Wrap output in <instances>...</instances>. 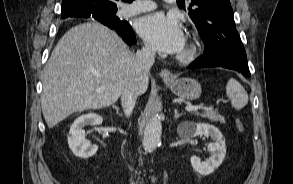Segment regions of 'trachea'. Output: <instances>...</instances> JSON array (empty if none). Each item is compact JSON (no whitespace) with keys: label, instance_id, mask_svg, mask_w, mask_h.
Wrapping results in <instances>:
<instances>
[{"label":"trachea","instance_id":"obj_1","mask_svg":"<svg viewBox=\"0 0 293 184\" xmlns=\"http://www.w3.org/2000/svg\"><path fill=\"white\" fill-rule=\"evenodd\" d=\"M122 1H124V2H128V3L133 2V0H122Z\"/></svg>","mask_w":293,"mask_h":184}]
</instances>
